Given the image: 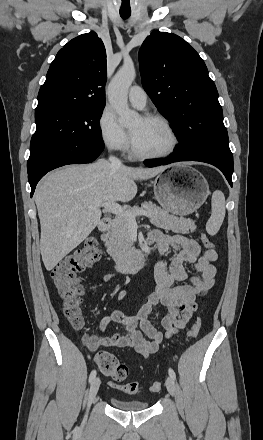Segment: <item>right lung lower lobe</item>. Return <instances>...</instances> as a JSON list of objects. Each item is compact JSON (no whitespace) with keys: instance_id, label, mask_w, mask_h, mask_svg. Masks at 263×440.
I'll list each match as a JSON object with an SVG mask.
<instances>
[{"instance_id":"98d812e1","label":"right lung lower lobe","mask_w":263,"mask_h":440,"mask_svg":"<svg viewBox=\"0 0 263 440\" xmlns=\"http://www.w3.org/2000/svg\"><path fill=\"white\" fill-rule=\"evenodd\" d=\"M103 144L77 146L73 149H63L51 154L43 163L28 171V180L31 186V196L38 181L55 168L68 164H83L94 161L103 151Z\"/></svg>"}]
</instances>
